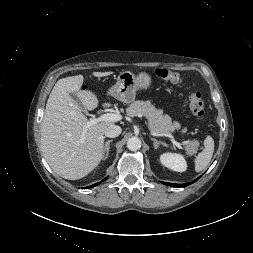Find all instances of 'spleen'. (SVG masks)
<instances>
[{"label": "spleen", "instance_id": "obj_1", "mask_svg": "<svg viewBox=\"0 0 253 253\" xmlns=\"http://www.w3.org/2000/svg\"><path fill=\"white\" fill-rule=\"evenodd\" d=\"M214 151V141L213 138L207 136L204 140V149L198 154L195 159V171L200 172L204 170L209 162L211 161Z\"/></svg>", "mask_w": 253, "mask_h": 253}]
</instances>
